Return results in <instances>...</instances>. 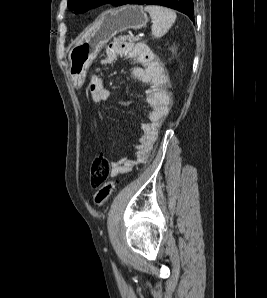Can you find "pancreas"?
<instances>
[{
	"label": "pancreas",
	"instance_id": "obj_1",
	"mask_svg": "<svg viewBox=\"0 0 267 298\" xmlns=\"http://www.w3.org/2000/svg\"><path fill=\"white\" fill-rule=\"evenodd\" d=\"M124 40H128L129 42H135L138 40V38L132 36V35H127L123 37Z\"/></svg>",
	"mask_w": 267,
	"mask_h": 298
}]
</instances>
